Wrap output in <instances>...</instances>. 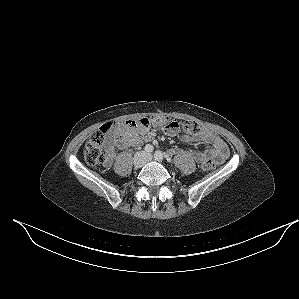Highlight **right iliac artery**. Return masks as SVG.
<instances>
[{
    "label": "right iliac artery",
    "instance_id": "82829eb1",
    "mask_svg": "<svg viewBox=\"0 0 299 299\" xmlns=\"http://www.w3.org/2000/svg\"><path fill=\"white\" fill-rule=\"evenodd\" d=\"M144 149L147 153H151L154 150L153 146L150 144L146 145Z\"/></svg>",
    "mask_w": 299,
    "mask_h": 299
}]
</instances>
